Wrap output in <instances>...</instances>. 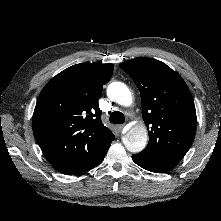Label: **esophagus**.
<instances>
[{"instance_id":"1","label":"esophagus","mask_w":221,"mask_h":221,"mask_svg":"<svg viewBox=\"0 0 221 221\" xmlns=\"http://www.w3.org/2000/svg\"><path fill=\"white\" fill-rule=\"evenodd\" d=\"M117 128L121 132L124 128V125L123 124L117 125Z\"/></svg>"}]
</instances>
